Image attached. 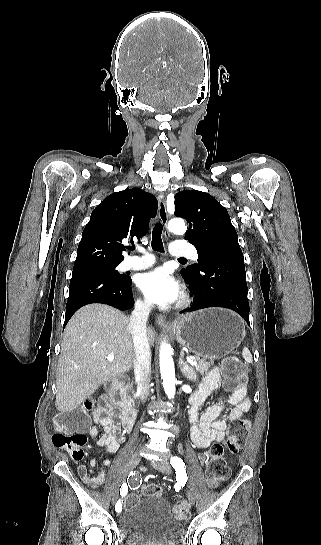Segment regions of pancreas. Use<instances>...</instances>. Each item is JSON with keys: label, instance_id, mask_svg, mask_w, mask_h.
<instances>
[{"label": "pancreas", "instance_id": "cf45deb5", "mask_svg": "<svg viewBox=\"0 0 321 545\" xmlns=\"http://www.w3.org/2000/svg\"><path fill=\"white\" fill-rule=\"evenodd\" d=\"M194 361H197V365H194L195 379L198 373H200V375H206V373H208L209 371V367H212V365H214V361H210V363H206L205 359H198V357H196Z\"/></svg>", "mask_w": 321, "mask_h": 545}]
</instances>
